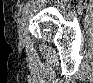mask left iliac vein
<instances>
[{
    "instance_id": "4c4485c4",
    "label": "left iliac vein",
    "mask_w": 93,
    "mask_h": 83,
    "mask_svg": "<svg viewBox=\"0 0 93 83\" xmlns=\"http://www.w3.org/2000/svg\"><path fill=\"white\" fill-rule=\"evenodd\" d=\"M26 21H27V14H24L20 20L18 28V33L21 41L24 40Z\"/></svg>"
}]
</instances>
